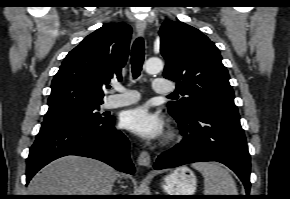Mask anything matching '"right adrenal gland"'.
Here are the masks:
<instances>
[{
	"label": "right adrenal gland",
	"mask_w": 290,
	"mask_h": 199,
	"mask_svg": "<svg viewBox=\"0 0 290 199\" xmlns=\"http://www.w3.org/2000/svg\"><path fill=\"white\" fill-rule=\"evenodd\" d=\"M111 195H116V189L114 190V192H113V193H111Z\"/></svg>",
	"instance_id": "2a0ac1e0"
}]
</instances>
